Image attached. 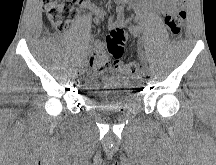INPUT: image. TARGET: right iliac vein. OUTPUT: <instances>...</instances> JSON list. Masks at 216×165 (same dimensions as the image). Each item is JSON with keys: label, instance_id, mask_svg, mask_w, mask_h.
I'll list each match as a JSON object with an SVG mask.
<instances>
[{"label": "right iliac vein", "instance_id": "obj_1", "mask_svg": "<svg viewBox=\"0 0 216 165\" xmlns=\"http://www.w3.org/2000/svg\"><path fill=\"white\" fill-rule=\"evenodd\" d=\"M84 71H85V64L83 66H81V68H80L81 73H84Z\"/></svg>", "mask_w": 216, "mask_h": 165}]
</instances>
